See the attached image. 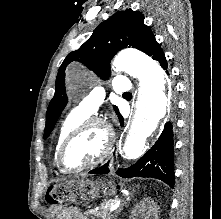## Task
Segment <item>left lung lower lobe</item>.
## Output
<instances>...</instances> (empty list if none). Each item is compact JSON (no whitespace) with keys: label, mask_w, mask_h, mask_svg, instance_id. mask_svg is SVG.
<instances>
[{"label":"left lung lower lobe","mask_w":221,"mask_h":219,"mask_svg":"<svg viewBox=\"0 0 221 219\" xmlns=\"http://www.w3.org/2000/svg\"><path fill=\"white\" fill-rule=\"evenodd\" d=\"M154 60L159 61L161 67L167 70V61L160 47L157 46L152 54ZM123 125V119L120 118ZM109 162L100 168L91 170L89 173L107 174L109 173ZM116 174L123 178L131 177H152L157 178L170 187H174V146L172 124L167 122L165 128L157 142L151 147L137 163L127 169L117 170Z\"/></svg>","instance_id":"left-lung-lower-lobe-1"}]
</instances>
